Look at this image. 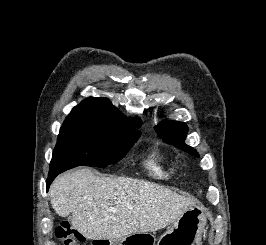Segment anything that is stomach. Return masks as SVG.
Returning a JSON list of instances; mask_svg holds the SVG:
<instances>
[{
	"label": "stomach",
	"mask_w": 266,
	"mask_h": 245,
	"mask_svg": "<svg viewBox=\"0 0 266 245\" xmlns=\"http://www.w3.org/2000/svg\"><path fill=\"white\" fill-rule=\"evenodd\" d=\"M205 227L203 211L199 207H191L159 239H155L152 233H132L117 241H109V245H155L156 241L157 245H201Z\"/></svg>",
	"instance_id": "1"
}]
</instances>
